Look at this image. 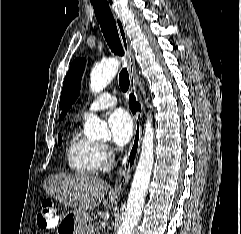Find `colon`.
<instances>
[{"instance_id": "5ec220e1", "label": "colon", "mask_w": 241, "mask_h": 234, "mask_svg": "<svg viewBox=\"0 0 241 234\" xmlns=\"http://www.w3.org/2000/svg\"><path fill=\"white\" fill-rule=\"evenodd\" d=\"M39 228L48 230L53 229L58 224V215L54 205L51 202H45L37 216Z\"/></svg>"}]
</instances>
